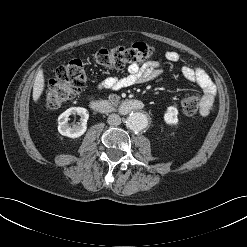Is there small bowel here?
Returning <instances> with one entry per match:
<instances>
[{
    "label": "small bowel",
    "mask_w": 247,
    "mask_h": 247,
    "mask_svg": "<svg viewBox=\"0 0 247 247\" xmlns=\"http://www.w3.org/2000/svg\"><path fill=\"white\" fill-rule=\"evenodd\" d=\"M165 59L169 62H178L180 55L176 51H167L165 53ZM181 73L186 80L200 88L202 97L199 114L201 116H207L212 111L216 98L214 83L208 74L198 67H192L186 64L182 65ZM161 74L162 70L159 61H151L143 65L131 64L127 69L126 75L122 77H108L99 84V88L105 90H120L135 84L151 82L160 77Z\"/></svg>",
    "instance_id": "1"
}]
</instances>
